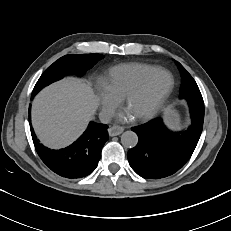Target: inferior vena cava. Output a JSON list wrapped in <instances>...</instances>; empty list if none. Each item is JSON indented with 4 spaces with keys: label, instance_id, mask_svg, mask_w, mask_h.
I'll return each instance as SVG.
<instances>
[{
    "label": "inferior vena cava",
    "instance_id": "602c4592",
    "mask_svg": "<svg viewBox=\"0 0 231 231\" xmlns=\"http://www.w3.org/2000/svg\"><path fill=\"white\" fill-rule=\"evenodd\" d=\"M113 117V113L110 111H102L99 114V119L102 123H109Z\"/></svg>",
    "mask_w": 231,
    "mask_h": 231
}]
</instances>
